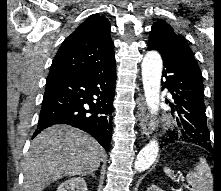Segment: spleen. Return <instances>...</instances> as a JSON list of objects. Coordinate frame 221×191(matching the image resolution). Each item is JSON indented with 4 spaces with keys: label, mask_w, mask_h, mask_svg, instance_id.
Wrapping results in <instances>:
<instances>
[{
    "label": "spleen",
    "mask_w": 221,
    "mask_h": 191,
    "mask_svg": "<svg viewBox=\"0 0 221 191\" xmlns=\"http://www.w3.org/2000/svg\"><path fill=\"white\" fill-rule=\"evenodd\" d=\"M165 174L172 180H176L175 175L169 168L164 169ZM187 182L194 188V191H213V176L211 169L203 158L195 166L194 171L187 173Z\"/></svg>",
    "instance_id": "spleen-1"
}]
</instances>
